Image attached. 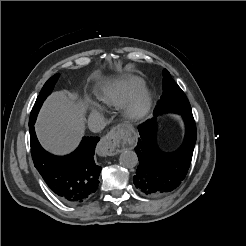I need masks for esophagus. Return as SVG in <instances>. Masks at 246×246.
Returning <instances> with one entry per match:
<instances>
[{"label":"esophagus","mask_w":246,"mask_h":246,"mask_svg":"<svg viewBox=\"0 0 246 246\" xmlns=\"http://www.w3.org/2000/svg\"><path fill=\"white\" fill-rule=\"evenodd\" d=\"M120 135L121 129L119 127H115L108 134L102 137L97 147L98 154L101 156H113L120 152L117 148Z\"/></svg>","instance_id":"obj_1"}]
</instances>
